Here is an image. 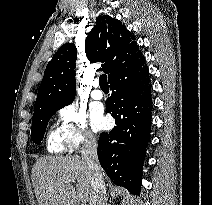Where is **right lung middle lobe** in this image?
Instances as JSON below:
<instances>
[{"mask_svg": "<svg viewBox=\"0 0 212 205\" xmlns=\"http://www.w3.org/2000/svg\"><path fill=\"white\" fill-rule=\"evenodd\" d=\"M64 106L66 105H45L34 109L31 134L32 139L36 144H39L42 140L50 117Z\"/></svg>", "mask_w": 212, "mask_h": 205, "instance_id": "dd1d6c3e", "label": "right lung middle lobe"}]
</instances>
